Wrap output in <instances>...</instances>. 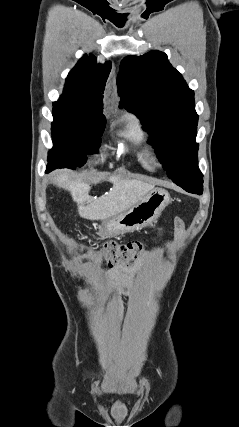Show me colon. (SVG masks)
<instances>
[{"instance_id":"colon-1","label":"colon","mask_w":239,"mask_h":427,"mask_svg":"<svg viewBox=\"0 0 239 427\" xmlns=\"http://www.w3.org/2000/svg\"><path fill=\"white\" fill-rule=\"evenodd\" d=\"M145 251V244L140 240L129 241L124 244L109 242L103 248L94 251L99 263L114 266H130L141 258Z\"/></svg>"}]
</instances>
